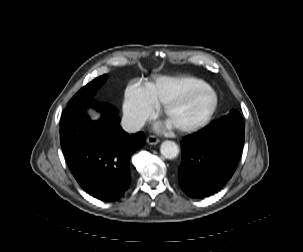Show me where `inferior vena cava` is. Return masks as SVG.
<instances>
[{"label": "inferior vena cava", "instance_id": "602c4592", "mask_svg": "<svg viewBox=\"0 0 303 252\" xmlns=\"http://www.w3.org/2000/svg\"><path fill=\"white\" fill-rule=\"evenodd\" d=\"M121 125L126 132L135 133L144 126V122L130 116H123Z\"/></svg>", "mask_w": 303, "mask_h": 252}]
</instances>
